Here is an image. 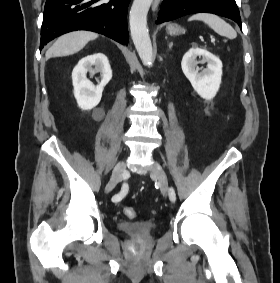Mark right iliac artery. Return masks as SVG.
Returning a JSON list of instances; mask_svg holds the SVG:
<instances>
[{
	"label": "right iliac artery",
	"mask_w": 280,
	"mask_h": 283,
	"mask_svg": "<svg viewBox=\"0 0 280 283\" xmlns=\"http://www.w3.org/2000/svg\"><path fill=\"white\" fill-rule=\"evenodd\" d=\"M124 187H126V186L124 185L121 192L112 197L113 202H115V203L120 202L122 200V198L126 195V193H125L126 189H124Z\"/></svg>",
	"instance_id": "obj_1"
}]
</instances>
